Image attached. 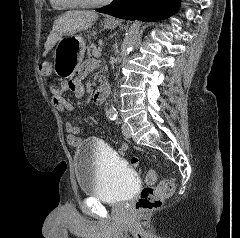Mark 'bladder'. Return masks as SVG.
I'll return each mask as SVG.
<instances>
[{
  "label": "bladder",
  "instance_id": "1",
  "mask_svg": "<svg viewBox=\"0 0 240 238\" xmlns=\"http://www.w3.org/2000/svg\"><path fill=\"white\" fill-rule=\"evenodd\" d=\"M74 168L81 193L108 204L126 202L137 188L136 174L128 163L94 139L79 145L74 154Z\"/></svg>",
  "mask_w": 240,
  "mask_h": 238
}]
</instances>
